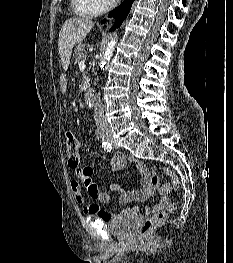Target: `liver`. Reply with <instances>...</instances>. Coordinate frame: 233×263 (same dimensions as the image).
Wrapping results in <instances>:
<instances>
[{"label": "liver", "instance_id": "6515ba94", "mask_svg": "<svg viewBox=\"0 0 233 263\" xmlns=\"http://www.w3.org/2000/svg\"><path fill=\"white\" fill-rule=\"evenodd\" d=\"M93 27L94 22L84 18H70L64 22L59 33L58 50L65 71L69 67L73 47L82 42Z\"/></svg>", "mask_w": 233, "mask_h": 263}]
</instances>
